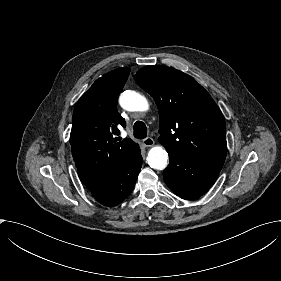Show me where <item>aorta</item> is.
<instances>
[{
    "label": "aorta",
    "instance_id": "1",
    "mask_svg": "<svg viewBox=\"0 0 281 281\" xmlns=\"http://www.w3.org/2000/svg\"><path fill=\"white\" fill-rule=\"evenodd\" d=\"M121 107L127 111H147V99L136 91L127 90L119 97ZM168 154L162 146H154L148 152L147 162L153 169L163 170L167 166Z\"/></svg>",
    "mask_w": 281,
    "mask_h": 281
}]
</instances>
